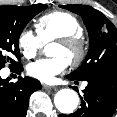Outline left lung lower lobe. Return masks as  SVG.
Wrapping results in <instances>:
<instances>
[{"label":"left lung lower lobe","instance_id":"left-lung-lower-lobe-1","mask_svg":"<svg viewBox=\"0 0 117 117\" xmlns=\"http://www.w3.org/2000/svg\"><path fill=\"white\" fill-rule=\"evenodd\" d=\"M67 78L75 80L69 75ZM81 108L72 115L58 117H111L117 108V69H109L86 79Z\"/></svg>","mask_w":117,"mask_h":117}]
</instances>
